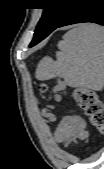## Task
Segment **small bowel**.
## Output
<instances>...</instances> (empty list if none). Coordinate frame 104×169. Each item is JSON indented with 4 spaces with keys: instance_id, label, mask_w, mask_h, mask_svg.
Instances as JSON below:
<instances>
[{
    "instance_id": "small-bowel-1",
    "label": "small bowel",
    "mask_w": 104,
    "mask_h": 169,
    "mask_svg": "<svg viewBox=\"0 0 104 169\" xmlns=\"http://www.w3.org/2000/svg\"><path fill=\"white\" fill-rule=\"evenodd\" d=\"M87 137L85 121L78 115H67L59 124L56 138L60 142Z\"/></svg>"
}]
</instances>
